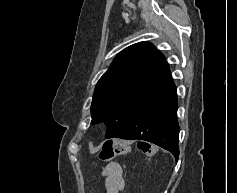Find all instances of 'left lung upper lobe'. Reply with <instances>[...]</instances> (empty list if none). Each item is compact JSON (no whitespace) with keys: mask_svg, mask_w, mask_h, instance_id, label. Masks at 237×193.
Returning a JSON list of instances; mask_svg holds the SVG:
<instances>
[{"mask_svg":"<svg viewBox=\"0 0 237 193\" xmlns=\"http://www.w3.org/2000/svg\"><path fill=\"white\" fill-rule=\"evenodd\" d=\"M168 69L164 55L151 43L139 42L121 51L96 85L92 124L105 121V138L117 137L146 91Z\"/></svg>","mask_w":237,"mask_h":193,"instance_id":"left-lung-upper-lobe-1","label":"left lung upper lobe"}]
</instances>
